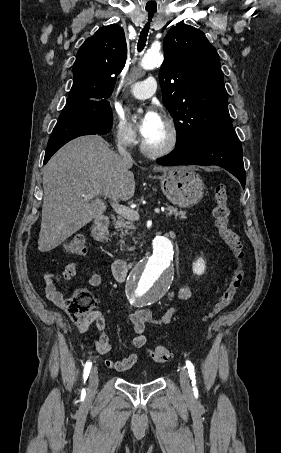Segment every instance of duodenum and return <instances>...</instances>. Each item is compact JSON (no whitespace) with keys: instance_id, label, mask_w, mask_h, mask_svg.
Instances as JSON below:
<instances>
[{"instance_id":"1","label":"duodenum","mask_w":281,"mask_h":453,"mask_svg":"<svg viewBox=\"0 0 281 453\" xmlns=\"http://www.w3.org/2000/svg\"><path fill=\"white\" fill-rule=\"evenodd\" d=\"M109 231V220L106 218L98 219L93 226V235L98 241L107 239ZM132 263L124 259H116L112 264V273L114 278L122 282L126 279Z\"/></svg>"}]
</instances>
